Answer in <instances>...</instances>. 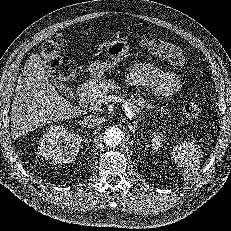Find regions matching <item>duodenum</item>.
<instances>
[{"label": "duodenum", "mask_w": 231, "mask_h": 231, "mask_svg": "<svg viewBox=\"0 0 231 231\" xmlns=\"http://www.w3.org/2000/svg\"><path fill=\"white\" fill-rule=\"evenodd\" d=\"M92 88H93V83L91 81H87L79 85L77 89V94L79 98L84 99L88 95H90Z\"/></svg>", "instance_id": "obj_1"}]
</instances>
